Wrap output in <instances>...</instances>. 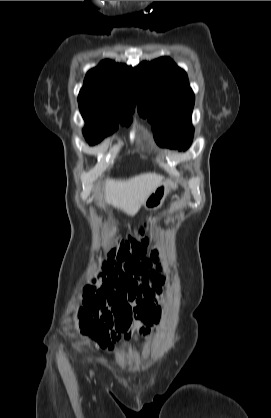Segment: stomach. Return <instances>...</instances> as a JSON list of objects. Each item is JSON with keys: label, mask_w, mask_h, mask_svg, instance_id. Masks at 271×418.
I'll return each instance as SVG.
<instances>
[{"label": "stomach", "mask_w": 271, "mask_h": 418, "mask_svg": "<svg viewBox=\"0 0 271 418\" xmlns=\"http://www.w3.org/2000/svg\"><path fill=\"white\" fill-rule=\"evenodd\" d=\"M177 185L173 182L162 181V183L148 196L143 203L147 210H157L163 203L171 189H175Z\"/></svg>", "instance_id": "0dacf381"}]
</instances>
